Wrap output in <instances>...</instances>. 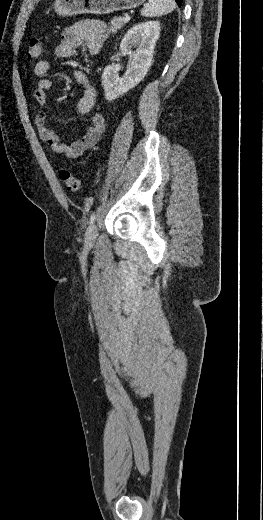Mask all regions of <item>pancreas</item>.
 Returning <instances> with one entry per match:
<instances>
[{
    "label": "pancreas",
    "mask_w": 263,
    "mask_h": 520,
    "mask_svg": "<svg viewBox=\"0 0 263 520\" xmlns=\"http://www.w3.org/2000/svg\"><path fill=\"white\" fill-rule=\"evenodd\" d=\"M127 22L128 21L124 20V17H115L111 20V23L109 24V31H111L112 33H116Z\"/></svg>",
    "instance_id": "1"
}]
</instances>
